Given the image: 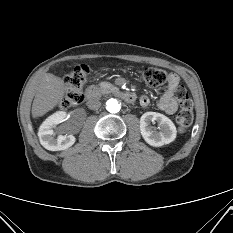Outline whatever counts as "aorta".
Listing matches in <instances>:
<instances>
[{
  "instance_id": "obj_1",
  "label": "aorta",
  "mask_w": 233,
  "mask_h": 233,
  "mask_svg": "<svg viewBox=\"0 0 233 233\" xmlns=\"http://www.w3.org/2000/svg\"><path fill=\"white\" fill-rule=\"evenodd\" d=\"M106 109L110 113H116L120 111L121 104L116 99L111 98L106 102Z\"/></svg>"
}]
</instances>
